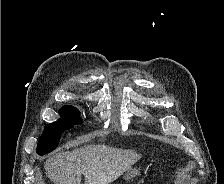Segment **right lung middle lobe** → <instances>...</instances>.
Instances as JSON below:
<instances>
[{
	"label": "right lung middle lobe",
	"mask_w": 224,
	"mask_h": 184,
	"mask_svg": "<svg viewBox=\"0 0 224 184\" xmlns=\"http://www.w3.org/2000/svg\"><path fill=\"white\" fill-rule=\"evenodd\" d=\"M59 114L62 116L61 119L54 123L47 124L44 128L36 150L39 155L46 154L55 149L61 134L65 129L69 128L70 121L72 124L81 123L78 116L79 111L73 106H64L59 110Z\"/></svg>",
	"instance_id": "obj_1"
}]
</instances>
